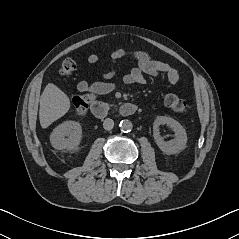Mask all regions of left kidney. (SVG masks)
I'll return each mask as SVG.
<instances>
[{"instance_id": "5707ae66", "label": "left kidney", "mask_w": 239, "mask_h": 239, "mask_svg": "<svg viewBox=\"0 0 239 239\" xmlns=\"http://www.w3.org/2000/svg\"><path fill=\"white\" fill-rule=\"evenodd\" d=\"M167 124L174 131V139L165 142L160 135V125ZM153 136L160 150L167 154H176L186 148L187 133L184 127L176 120L167 116H157L153 124Z\"/></svg>"}]
</instances>
